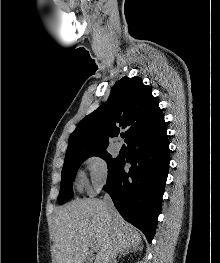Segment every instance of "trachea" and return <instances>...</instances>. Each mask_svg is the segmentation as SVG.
Returning <instances> with one entry per match:
<instances>
[{
	"mask_svg": "<svg viewBox=\"0 0 220 263\" xmlns=\"http://www.w3.org/2000/svg\"><path fill=\"white\" fill-rule=\"evenodd\" d=\"M121 137L124 138V134H122Z\"/></svg>",
	"mask_w": 220,
	"mask_h": 263,
	"instance_id": "3493384b",
	"label": "trachea"
}]
</instances>
